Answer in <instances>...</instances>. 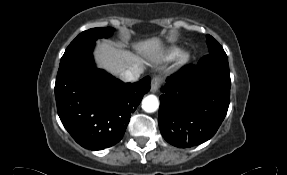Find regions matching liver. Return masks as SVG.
Segmentation results:
<instances>
[{"label": "liver", "instance_id": "1", "mask_svg": "<svg viewBox=\"0 0 287 175\" xmlns=\"http://www.w3.org/2000/svg\"><path fill=\"white\" fill-rule=\"evenodd\" d=\"M135 48L145 58L153 60L162 53L163 44L159 38L153 37L138 42ZM94 55L98 66L114 75H120V73L130 68H142V60L137 55L117 48L108 41L99 43Z\"/></svg>", "mask_w": 287, "mask_h": 175}]
</instances>
